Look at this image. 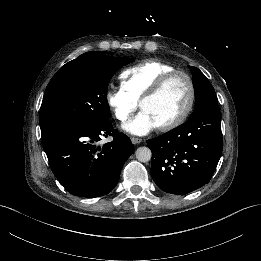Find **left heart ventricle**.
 <instances>
[{
	"instance_id": "1",
	"label": "left heart ventricle",
	"mask_w": 261,
	"mask_h": 261,
	"mask_svg": "<svg viewBox=\"0 0 261 261\" xmlns=\"http://www.w3.org/2000/svg\"><path fill=\"white\" fill-rule=\"evenodd\" d=\"M189 97L188 84L184 77L176 76L154 99L146 102L142 110L157 123L163 125L176 118L184 109Z\"/></svg>"
}]
</instances>
